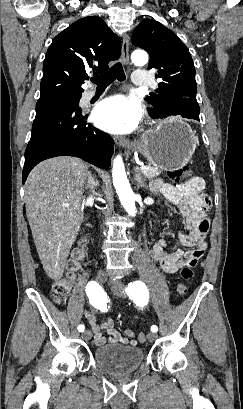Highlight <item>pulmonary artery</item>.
<instances>
[{
	"mask_svg": "<svg viewBox=\"0 0 243 409\" xmlns=\"http://www.w3.org/2000/svg\"><path fill=\"white\" fill-rule=\"evenodd\" d=\"M132 82L136 86H147L149 85V78L147 72L143 70H136L132 75ZM95 95L94 91H87L84 93V100L88 101Z\"/></svg>",
	"mask_w": 243,
	"mask_h": 409,
	"instance_id": "1",
	"label": "pulmonary artery"
}]
</instances>
